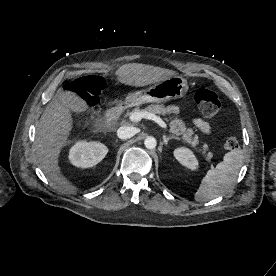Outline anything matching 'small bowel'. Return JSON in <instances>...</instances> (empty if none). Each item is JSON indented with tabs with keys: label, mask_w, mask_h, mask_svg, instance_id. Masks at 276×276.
<instances>
[{
	"label": "small bowel",
	"mask_w": 276,
	"mask_h": 276,
	"mask_svg": "<svg viewBox=\"0 0 276 276\" xmlns=\"http://www.w3.org/2000/svg\"><path fill=\"white\" fill-rule=\"evenodd\" d=\"M192 122L195 125V127L198 128L202 133L204 134L211 133V126L206 120L200 117H196L192 120Z\"/></svg>",
	"instance_id": "c3829d8e"
}]
</instances>
